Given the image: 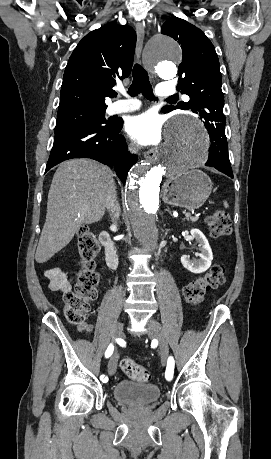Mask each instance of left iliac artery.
<instances>
[{
    "label": "left iliac artery",
    "mask_w": 271,
    "mask_h": 459,
    "mask_svg": "<svg viewBox=\"0 0 271 459\" xmlns=\"http://www.w3.org/2000/svg\"><path fill=\"white\" fill-rule=\"evenodd\" d=\"M174 364H175L174 359L172 356H170L168 358L167 369L165 372V377H167L166 378L167 382H174V377H173V372H174L173 369L175 367Z\"/></svg>",
    "instance_id": "1"
}]
</instances>
